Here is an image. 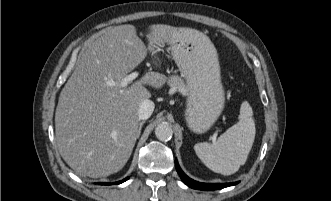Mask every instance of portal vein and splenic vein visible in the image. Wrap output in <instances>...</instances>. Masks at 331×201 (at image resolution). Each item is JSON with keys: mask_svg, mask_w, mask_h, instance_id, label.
Instances as JSON below:
<instances>
[{"mask_svg": "<svg viewBox=\"0 0 331 201\" xmlns=\"http://www.w3.org/2000/svg\"><path fill=\"white\" fill-rule=\"evenodd\" d=\"M138 77V72H133L129 75H127L125 78L122 79L120 82L121 87H127L128 83L132 82L134 79ZM215 141V138L213 139Z\"/></svg>", "mask_w": 331, "mask_h": 201, "instance_id": "1", "label": "portal vein and splenic vein"}]
</instances>
